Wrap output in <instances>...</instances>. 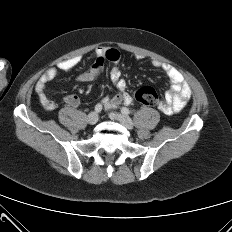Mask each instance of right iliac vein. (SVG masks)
<instances>
[{
  "instance_id": "obj_1",
  "label": "right iliac vein",
  "mask_w": 232,
  "mask_h": 232,
  "mask_svg": "<svg viewBox=\"0 0 232 232\" xmlns=\"http://www.w3.org/2000/svg\"><path fill=\"white\" fill-rule=\"evenodd\" d=\"M98 121V114L96 112H91L87 117V122L91 125L96 124Z\"/></svg>"
}]
</instances>
